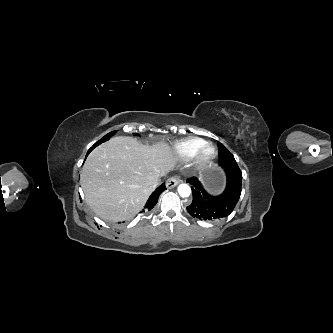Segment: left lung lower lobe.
Masks as SVG:
<instances>
[{
	"label": "left lung lower lobe",
	"instance_id": "0a47b994",
	"mask_svg": "<svg viewBox=\"0 0 333 333\" xmlns=\"http://www.w3.org/2000/svg\"><path fill=\"white\" fill-rule=\"evenodd\" d=\"M227 176V186L219 196L207 193L199 180L189 178L193 201L187 207L189 214L203 221H218L227 217L235 208L241 195L242 173L236 162L220 163Z\"/></svg>",
	"mask_w": 333,
	"mask_h": 333
}]
</instances>
